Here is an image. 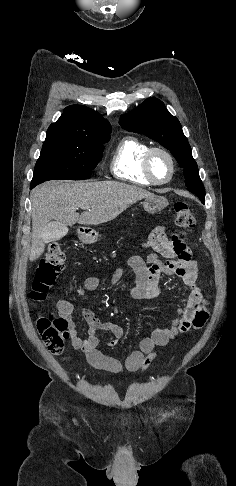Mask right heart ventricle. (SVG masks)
Listing matches in <instances>:
<instances>
[{"label":"right heart ventricle","mask_w":236,"mask_h":486,"mask_svg":"<svg viewBox=\"0 0 236 486\" xmlns=\"http://www.w3.org/2000/svg\"><path fill=\"white\" fill-rule=\"evenodd\" d=\"M150 148L145 141L134 137H124L116 146L111 158V171L120 180L150 186L142 170L144 154Z\"/></svg>","instance_id":"obj_1"}]
</instances>
